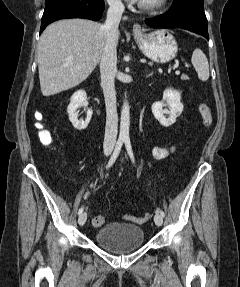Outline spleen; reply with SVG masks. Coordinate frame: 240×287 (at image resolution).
Instances as JSON below:
<instances>
[{
    "label": "spleen",
    "mask_w": 240,
    "mask_h": 287,
    "mask_svg": "<svg viewBox=\"0 0 240 287\" xmlns=\"http://www.w3.org/2000/svg\"><path fill=\"white\" fill-rule=\"evenodd\" d=\"M191 62L197 72L198 78L201 81H207L209 79V64L207 57L201 49L196 48L193 51Z\"/></svg>",
    "instance_id": "1"
}]
</instances>
